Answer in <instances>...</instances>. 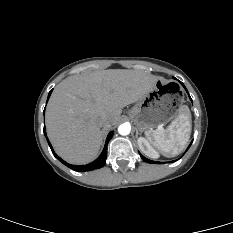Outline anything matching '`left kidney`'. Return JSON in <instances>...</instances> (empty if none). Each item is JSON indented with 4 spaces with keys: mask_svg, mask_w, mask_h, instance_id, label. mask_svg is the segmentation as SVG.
<instances>
[{
    "mask_svg": "<svg viewBox=\"0 0 233 233\" xmlns=\"http://www.w3.org/2000/svg\"><path fill=\"white\" fill-rule=\"evenodd\" d=\"M138 145L140 150L148 157L157 158L159 155L150 143L143 137L138 138Z\"/></svg>",
    "mask_w": 233,
    "mask_h": 233,
    "instance_id": "5707ae66",
    "label": "left kidney"
}]
</instances>
